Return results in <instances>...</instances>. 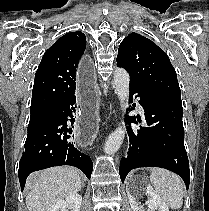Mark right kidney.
<instances>
[{
    "mask_svg": "<svg viewBox=\"0 0 209 211\" xmlns=\"http://www.w3.org/2000/svg\"><path fill=\"white\" fill-rule=\"evenodd\" d=\"M81 203L82 196L78 193H73L66 196L65 200H60L52 205L48 211H68L67 208H70L71 211H80Z\"/></svg>",
    "mask_w": 209,
    "mask_h": 211,
    "instance_id": "right-kidney-1",
    "label": "right kidney"
}]
</instances>
